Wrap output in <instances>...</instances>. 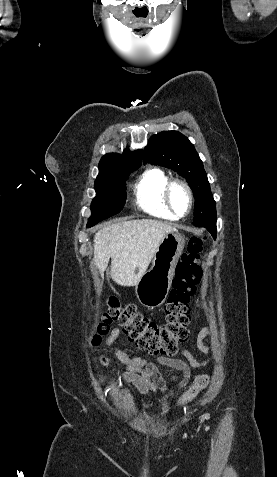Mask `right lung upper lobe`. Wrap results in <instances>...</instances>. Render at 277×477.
<instances>
[{
    "label": "right lung upper lobe",
    "mask_w": 277,
    "mask_h": 477,
    "mask_svg": "<svg viewBox=\"0 0 277 477\" xmlns=\"http://www.w3.org/2000/svg\"><path fill=\"white\" fill-rule=\"evenodd\" d=\"M142 162V151L124 150L123 154L109 153L104 155L99 162V172L110 169H138Z\"/></svg>",
    "instance_id": "right-lung-upper-lobe-1"
}]
</instances>
